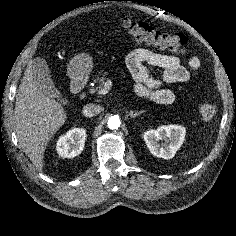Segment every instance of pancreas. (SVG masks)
I'll use <instances>...</instances> for the list:
<instances>
[{"label":"pancreas","instance_id":"pancreas-1","mask_svg":"<svg viewBox=\"0 0 236 236\" xmlns=\"http://www.w3.org/2000/svg\"><path fill=\"white\" fill-rule=\"evenodd\" d=\"M106 75L107 72L104 71L99 72V74L93 79V82L98 83L99 86L91 89L90 93L94 94L99 91V89L104 85L105 81L107 80Z\"/></svg>","mask_w":236,"mask_h":236}]
</instances>
